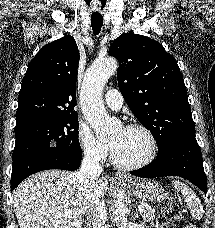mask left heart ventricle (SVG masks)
<instances>
[{
  "label": "left heart ventricle",
  "instance_id": "1",
  "mask_svg": "<svg viewBox=\"0 0 215 228\" xmlns=\"http://www.w3.org/2000/svg\"><path fill=\"white\" fill-rule=\"evenodd\" d=\"M109 143L115 159L121 163H134L142 159L148 151V141L139 129H119L114 132Z\"/></svg>",
  "mask_w": 215,
  "mask_h": 228
}]
</instances>
